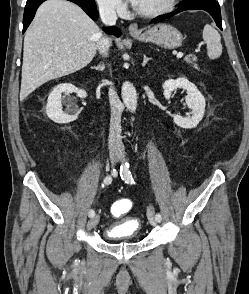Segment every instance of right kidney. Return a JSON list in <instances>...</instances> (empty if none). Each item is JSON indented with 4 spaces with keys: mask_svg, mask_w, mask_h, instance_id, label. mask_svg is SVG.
<instances>
[{
    "mask_svg": "<svg viewBox=\"0 0 249 294\" xmlns=\"http://www.w3.org/2000/svg\"><path fill=\"white\" fill-rule=\"evenodd\" d=\"M72 92H75L81 98L87 97V93L84 90L78 89L77 87L69 83H63L56 86L49 94L46 105V114L53 122L64 124L77 119V110L73 109V101H63L61 98L63 93L69 94ZM62 102L65 103L67 106L65 112L62 111Z\"/></svg>",
    "mask_w": 249,
    "mask_h": 294,
    "instance_id": "1",
    "label": "right kidney"
}]
</instances>
